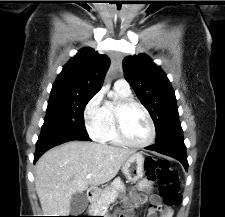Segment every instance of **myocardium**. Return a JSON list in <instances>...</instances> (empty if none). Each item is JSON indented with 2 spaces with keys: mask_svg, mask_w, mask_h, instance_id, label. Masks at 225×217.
<instances>
[{
  "mask_svg": "<svg viewBox=\"0 0 225 217\" xmlns=\"http://www.w3.org/2000/svg\"><path fill=\"white\" fill-rule=\"evenodd\" d=\"M133 106L139 107L143 111V113L145 114V116L149 122V126H150V137L146 142L141 143V144L131 142L127 138L125 131H124V127H123L124 113L126 110H128L129 108H131ZM114 116H115V125H116L117 135H118L120 141L124 145L131 147V148L142 149V148H146V147L150 146L154 142L155 137H156L155 125H154L153 119H152L149 111L142 103H140L132 98L121 99L115 106Z\"/></svg>",
  "mask_w": 225,
  "mask_h": 217,
  "instance_id": "myocardium-1",
  "label": "myocardium"
}]
</instances>
